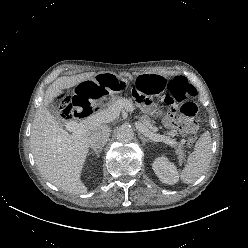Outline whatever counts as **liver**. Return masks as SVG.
Masks as SVG:
<instances>
[{"label": "liver", "instance_id": "liver-1", "mask_svg": "<svg viewBox=\"0 0 248 248\" xmlns=\"http://www.w3.org/2000/svg\"><path fill=\"white\" fill-rule=\"evenodd\" d=\"M94 75L95 72H88L54 81L46 90L32 123L30 145L38 170L47 181L75 195L87 193L80 175L89 151L88 139L93 130L103 124L93 125L81 134H69L60 127L47 105L62 96L64 90Z\"/></svg>", "mask_w": 248, "mask_h": 248}]
</instances>
